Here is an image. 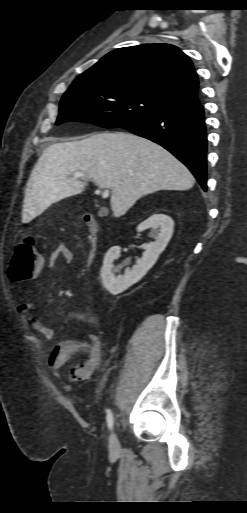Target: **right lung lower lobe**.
I'll return each instance as SVG.
<instances>
[{
	"instance_id": "1",
	"label": "right lung lower lobe",
	"mask_w": 247,
	"mask_h": 513,
	"mask_svg": "<svg viewBox=\"0 0 247 513\" xmlns=\"http://www.w3.org/2000/svg\"><path fill=\"white\" fill-rule=\"evenodd\" d=\"M170 151L207 190V137L204 109L199 101L168 107L154 115L122 127Z\"/></svg>"
}]
</instances>
